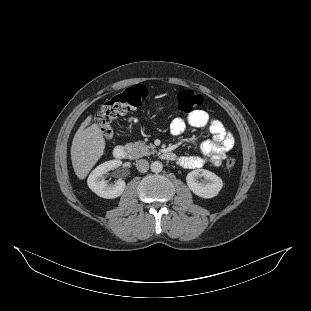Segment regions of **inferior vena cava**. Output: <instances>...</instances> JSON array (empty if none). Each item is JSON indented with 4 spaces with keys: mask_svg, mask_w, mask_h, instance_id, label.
Segmentation results:
<instances>
[{
    "mask_svg": "<svg viewBox=\"0 0 311 311\" xmlns=\"http://www.w3.org/2000/svg\"><path fill=\"white\" fill-rule=\"evenodd\" d=\"M136 167L139 172H147L149 169V163L145 159H140L136 162Z\"/></svg>",
    "mask_w": 311,
    "mask_h": 311,
    "instance_id": "1",
    "label": "inferior vena cava"
}]
</instances>
